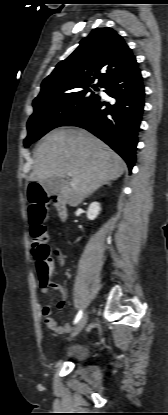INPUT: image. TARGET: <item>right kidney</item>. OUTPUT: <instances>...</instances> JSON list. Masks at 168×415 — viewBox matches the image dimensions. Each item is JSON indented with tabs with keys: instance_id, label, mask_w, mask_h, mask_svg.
I'll list each match as a JSON object with an SVG mask.
<instances>
[{
	"instance_id": "1",
	"label": "right kidney",
	"mask_w": 168,
	"mask_h": 415,
	"mask_svg": "<svg viewBox=\"0 0 168 415\" xmlns=\"http://www.w3.org/2000/svg\"><path fill=\"white\" fill-rule=\"evenodd\" d=\"M100 211V204L98 202H93L90 204L87 210V217L90 220H94Z\"/></svg>"
}]
</instances>
